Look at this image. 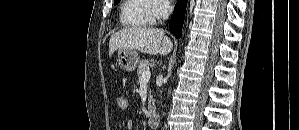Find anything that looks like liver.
<instances>
[{"label": "liver", "instance_id": "6515ba94", "mask_svg": "<svg viewBox=\"0 0 299 130\" xmlns=\"http://www.w3.org/2000/svg\"><path fill=\"white\" fill-rule=\"evenodd\" d=\"M172 46L171 40L165 36L162 29L150 27L124 28L111 36L109 57L117 49H132L150 55L165 56L171 52Z\"/></svg>", "mask_w": 299, "mask_h": 130}]
</instances>
